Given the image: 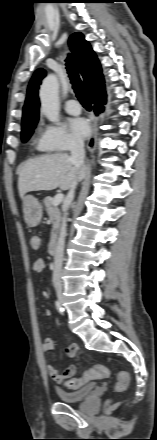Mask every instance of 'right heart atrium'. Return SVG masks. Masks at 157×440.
Listing matches in <instances>:
<instances>
[{"label":"right heart atrium","instance_id":"obj_1","mask_svg":"<svg viewBox=\"0 0 157 440\" xmlns=\"http://www.w3.org/2000/svg\"><path fill=\"white\" fill-rule=\"evenodd\" d=\"M42 139L44 145L53 151L68 150L81 144L62 124L45 126Z\"/></svg>","mask_w":157,"mask_h":440}]
</instances>
